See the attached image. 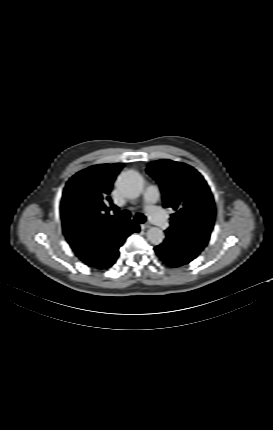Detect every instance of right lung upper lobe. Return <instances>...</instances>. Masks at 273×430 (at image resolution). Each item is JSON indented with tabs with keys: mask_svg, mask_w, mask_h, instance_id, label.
<instances>
[{
	"mask_svg": "<svg viewBox=\"0 0 273 430\" xmlns=\"http://www.w3.org/2000/svg\"><path fill=\"white\" fill-rule=\"evenodd\" d=\"M123 166H90L72 176L64 188L60 206L63 232L82 261L88 259L90 248L102 233L115 232L133 222L117 223L109 213L117 210L109 194Z\"/></svg>",
	"mask_w": 273,
	"mask_h": 430,
	"instance_id": "1",
	"label": "right lung upper lobe"
}]
</instances>
